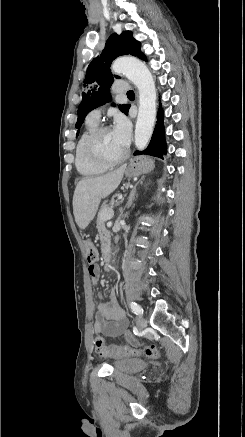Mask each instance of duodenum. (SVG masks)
<instances>
[{"instance_id":"410a0bca","label":"duodenum","mask_w":245,"mask_h":437,"mask_svg":"<svg viewBox=\"0 0 245 437\" xmlns=\"http://www.w3.org/2000/svg\"><path fill=\"white\" fill-rule=\"evenodd\" d=\"M102 256H103V260L105 262L104 268L106 271H108L111 267V264H110V260H111V256H112L111 248L108 246L104 247L103 252H102Z\"/></svg>"}]
</instances>
